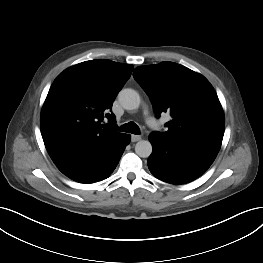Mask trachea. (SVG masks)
Returning a JSON list of instances; mask_svg holds the SVG:
<instances>
[{
	"label": "trachea",
	"instance_id": "obj_1",
	"mask_svg": "<svg viewBox=\"0 0 263 263\" xmlns=\"http://www.w3.org/2000/svg\"><path fill=\"white\" fill-rule=\"evenodd\" d=\"M119 131L132 133V134H135V135H139L140 134V129H139L138 125L135 124L134 122H129V123L123 124L119 128Z\"/></svg>",
	"mask_w": 263,
	"mask_h": 263
}]
</instances>
